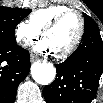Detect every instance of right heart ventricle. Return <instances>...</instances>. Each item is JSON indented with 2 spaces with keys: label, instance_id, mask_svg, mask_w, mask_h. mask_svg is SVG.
Here are the masks:
<instances>
[{
  "label": "right heart ventricle",
  "instance_id": "obj_1",
  "mask_svg": "<svg viewBox=\"0 0 103 103\" xmlns=\"http://www.w3.org/2000/svg\"><path fill=\"white\" fill-rule=\"evenodd\" d=\"M68 9L71 8L67 5H51L38 9L30 15V23L41 31L51 20Z\"/></svg>",
  "mask_w": 103,
  "mask_h": 103
}]
</instances>
